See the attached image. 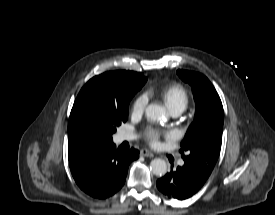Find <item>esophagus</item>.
I'll return each mask as SVG.
<instances>
[{"label":"esophagus","mask_w":275,"mask_h":215,"mask_svg":"<svg viewBox=\"0 0 275 215\" xmlns=\"http://www.w3.org/2000/svg\"><path fill=\"white\" fill-rule=\"evenodd\" d=\"M140 154L142 156H145V157H153L154 156V154L150 150H148V149H142L140 151Z\"/></svg>","instance_id":"esophagus-1"}]
</instances>
